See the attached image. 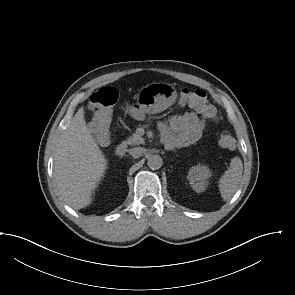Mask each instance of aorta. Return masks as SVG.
<instances>
[{"label": "aorta", "instance_id": "1", "mask_svg": "<svg viewBox=\"0 0 295 295\" xmlns=\"http://www.w3.org/2000/svg\"><path fill=\"white\" fill-rule=\"evenodd\" d=\"M147 165L151 169H159L163 165L162 158L159 155H150L147 159Z\"/></svg>", "mask_w": 295, "mask_h": 295}]
</instances>
